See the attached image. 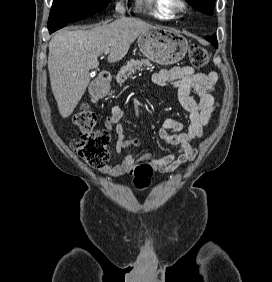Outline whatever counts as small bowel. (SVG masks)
Masks as SVG:
<instances>
[{"label": "small bowel", "instance_id": "small-bowel-1", "mask_svg": "<svg viewBox=\"0 0 272 282\" xmlns=\"http://www.w3.org/2000/svg\"><path fill=\"white\" fill-rule=\"evenodd\" d=\"M152 79L159 86L167 84L175 86L178 89L181 107L189 113L190 123L186 130L183 129L182 123L174 117L166 118L159 130L160 139L167 144L177 146V150L153 158L147 146L140 139L130 138L125 134L120 124L123 110L115 107L107 117L105 127L107 129L114 127L117 136L116 151H126V153L120 161L99 169L101 174L113 178L119 177L133 171L139 163H146L150 168L159 172H167L196 157L193 143L195 139L203 136L204 129L210 123L212 113L218 106L213 95L218 74L214 71L208 74L196 72L191 66H176L162 69L154 74ZM192 90L197 94L198 100L191 96ZM131 145L144 149V154L140 157L132 155L128 151Z\"/></svg>", "mask_w": 272, "mask_h": 282}]
</instances>
